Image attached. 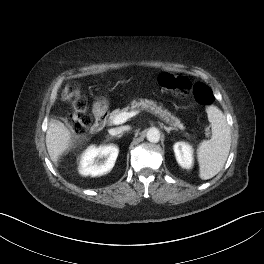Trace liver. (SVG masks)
<instances>
[{"label": "liver", "mask_w": 264, "mask_h": 264, "mask_svg": "<svg viewBox=\"0 0 264 264\" xmlns=\"http://www.w3.org/2000/svg\"><path fill=\"white\" fill-rule=\"evenodd\" d=\"M77 139L64 123L51 119L46 132V146L52 162L57 164L59 157L71 150Z\"/></svg>", "instance_id": "1"}]
</instances>
